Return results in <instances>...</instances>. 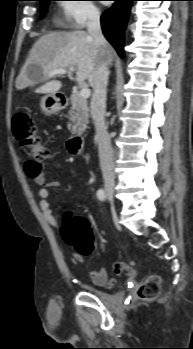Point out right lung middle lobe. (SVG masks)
I'll return each instance as SVG.
<instances>
[{
    "label": "right lung middle lobe",
    "instance_id": "right-lung-middle-lobe-1",
    "mask_svg": "<svg viewBox=\"0 0 193 349\" xmlns=\"http://www.w3.org/2000/svg\"><path fill=\"white\" fill-rule=\"evenodd\" d=\"M41 2V12H42V17L44 16V14L46 13L47 11V8H48V5H49V2L52 1V0H38Z\"/></svg>",
    "mask_w": 193,
    "mask_h": 349
}]
</instances>
